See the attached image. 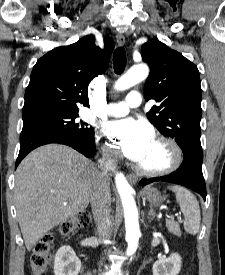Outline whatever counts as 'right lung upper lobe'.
<instances>
[{
	"instance_id": "cb5924a9",
	"label": "right lung upper lobe",
	"mask_w": 225,
	"mask_h": 275,
	"mask_svg": "<svg viewBox=\"0 0 225 275\" xmlns=\"http://www.w3.org/2000/svg\"><path fill=\"white\" fill-rule=\"evenodd\" d=\"M104 44L105 48L100 49L93 36H85L41 57L31 73L22 116L79 110V104L88 107V85L106 70L114 48L109 37H105Z\"/></svg>"
}]
</instances>
